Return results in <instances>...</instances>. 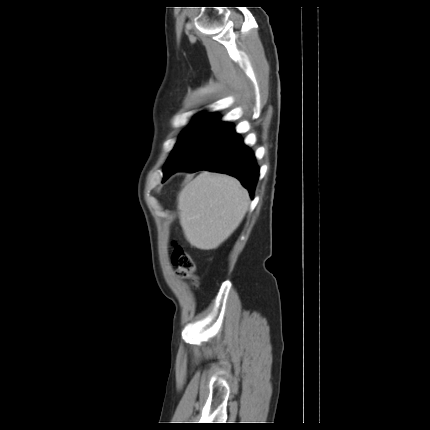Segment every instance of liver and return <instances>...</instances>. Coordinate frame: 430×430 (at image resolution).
<instances>
[{
  "label": "liver",
  "instance_id": "liver-1",
  "mask_svg": "<svg viewBox=\"0 0 430 430\" xmlns=\"http://www.w3.org/2000/svg\"><path fill=\"white\" fill-rule=\"evenodd\" d=\"M248 205V192L236 178L202 172L179 195L185 238L198 249H216L239 226Z\"/></svg>",
  "mask_w": 430,
  "mask_h": 430
}]
</instances>
